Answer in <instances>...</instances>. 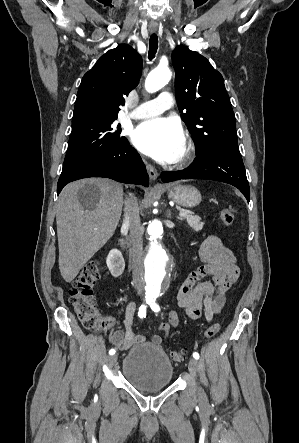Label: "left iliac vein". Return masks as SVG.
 <instances>
[{
  "instance_id": "1",
  "label": "left iliac vein",
  "mask_w": 299,
  "mask_h": 443,
  "mask_svg": "<svg viewBox=\"0 0 299 443\" xmlns=\"http://www.w3.org/2000/svg\"><path fill=\"white\" fill-rule=\"evenodd\" d=\"M188 368L192 374H196L198 372V361L195 358H190Z\"/></svg>"
}]
</instances>
